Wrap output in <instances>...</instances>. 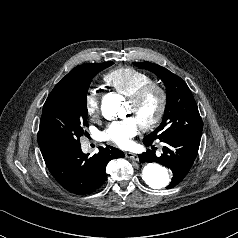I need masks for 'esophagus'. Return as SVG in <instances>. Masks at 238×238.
I'll list each match as a JSON object with an SVG mask.
<instances>
[{"label": "esophagus", "mask_w": 238, "mask_h": 238, "mask_svg": "<svg viewBox=\"0 0 238 238\" xmlns=\"http://www.w3.org/2000/svg\"><path fill=\"white\" fill-rule=\"evenodd\" d=\"M125 156L127 157V158H130V159H132V160H135V161H138V155H136V154H134V153H132V152H126L125 153Z\"/></svg>", "instance_id": "34e87169"}]
</instances>
